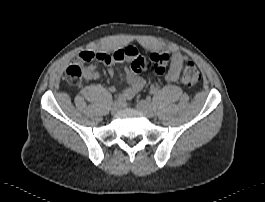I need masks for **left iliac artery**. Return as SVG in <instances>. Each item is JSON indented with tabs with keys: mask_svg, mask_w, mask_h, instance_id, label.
Listing matches in <instances>:
<instances>
[{
	"mask_svg": "<svg viewBox=\"0 0 265 202\" xmlns=\"http://www.w3.org/2000/svg\"><path fill=\"white\" fill-rule=\"evenodd\" d=\"M150 93L151 94H156V89L155 88H150Z\"/></svg>",
	"mask_w": 265,
	"mask_h": 202,
	"instance_id": "44dca946",
	"label": "left iliac artery"
}]
</instances>
